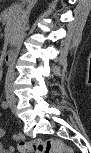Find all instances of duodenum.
<instances>
[{
	"label": "duodenum",
	"instance_id": "obj_1",
	"mask_svg": "<svg viewBox=\"0 0 91 153\" xmlns=\"http://www.w3.org/2000/svg\"><path fill=\"white\" fill-rule=\"evenodd\" d=\"M16 54H17V51L15 49L7 50L5 52L4 58H3L4 59V63L6 65H10L14 61V59L16 57Z\"/></svg>",
	"mask_w": 91,
	"mask_h": 153
}]
</instances>
